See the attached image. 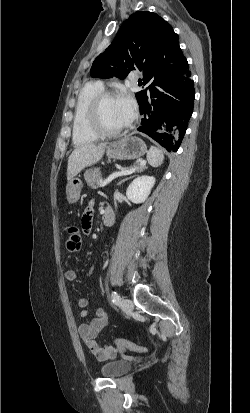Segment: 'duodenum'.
<instances>
[{
  "mask_svg": "<svg viewBox=\"0 0 250 413\" xmlns=\"http://www.w3.org/2000/svg\"><path fill=\"white\" fill-rule=\"evenodd\" d=\"M114 223V213L110 208H107L103 214V224L108 227Z\"/></svg>",
  "mask_w": 250,
  "mask_h": 413,
  "instance_id": "410a0bca",
  "label": "duodenum"
}]
</instances>
